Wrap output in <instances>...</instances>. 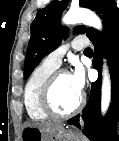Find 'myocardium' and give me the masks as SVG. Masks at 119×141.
<instances>
[{"mask_svg":"<svg viewBox=\"0 0 119 141\" xmlns=\"http://www.w3.org/2000/svg\"><path fill=\"white\" fill-rule=\"evenodd\" d=\"M61 75H69L68 71L65 69H58L55 70L45 81L41 92H40V105L45 114H47L49 117L56 118V119H64L69 118L76 113H78L83 104H84V97L80 95V99L76 106L67 112H61L58 111L52 102V95H53V89L56 84L57 79Z\"/></svg>","mask_w":119,"mask_h":141,"instance_id":"myocardium-1","label":"myocardium"}]
</instances>
